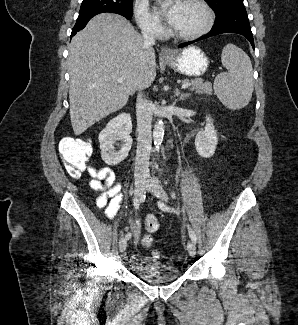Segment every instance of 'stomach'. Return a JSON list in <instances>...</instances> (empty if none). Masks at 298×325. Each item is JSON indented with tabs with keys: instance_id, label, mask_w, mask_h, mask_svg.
I'll return each mask as SVG.
<instances>
[{
	"instance_id": "1",
	"label": "stomach",
	"mask_w": 298,
	"mask_h": 325,
	"mask_svg": "<svg viewBox=\"0 0 298 325\" xmlns=\"http://www.w3.org/2000/svg\"><path fill=\"white\" fill-rule=\"evenodd\" d=\"M164 62L179 74L185 76H202L209 68L210 58L200 46L190 44L180 50H174L172 56H163Z\"/></svg>"
}]
</instances>
